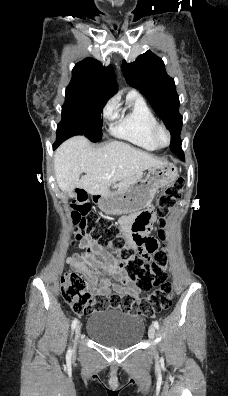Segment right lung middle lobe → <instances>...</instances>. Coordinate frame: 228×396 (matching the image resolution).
Instances as JSON below:
<instances>
[{
	"instance_id": "1",
	"label": "right lung middle lobe",
	"mask_w": 228,
	"mask_h": 396,
	"mask_svg": "<svg viewBox=\"0 0 228 396\" xmlns=\"http://www.w3.org/2000/svg\"><path fill=\"white\" fill-rule=\"evenodd\" d=\"M106 102L98 94L66 90L62 120L57 127V139L64 141L74 135H84L92 142L101 140V111Z\"/></svg>"
}]
</instances>
